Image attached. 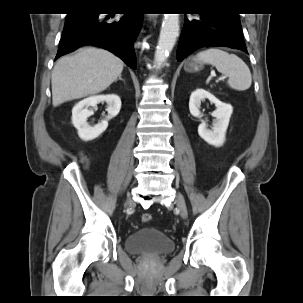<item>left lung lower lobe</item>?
<instances>
[{
	"instance_id": "left-lung-lower-lobe-1",
	"label": "left lung lower lobe",
	"mask_w": 303,
	"mask_h": 303,
	"mask_svg": "<svg viewBox=\"0 0 303 303\" xmlns=\"http://www.w3.org/2000/svg\"><path fill=\"white\" fill-rule=\"evenodd\" d=\"M226 46L247 52L238 14L211 10L194 18L185 17L177 61L202 47Z\"/></svg>"
}]
</instances>
